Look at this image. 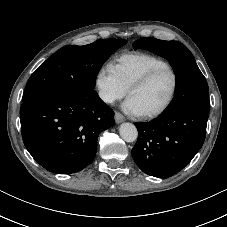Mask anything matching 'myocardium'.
Masks as SVG:
<instances>
[{
  "instance_id": "myocardium-1",
  "label": "myocardium",
  "mask_w": 227,
  "mask_h": 227,
  "mask_svg": "<svg viewBox=\"0 0 227 227\" xmlns=\"http://www.w3.org/2000/svg\"><path fill=\"white\" fill-rule=\"evenodd\" d=\"M164 70H168L172 74V77H173V87H172L171 93H170L168 99L166 100V102L160 108H158L152 112L143 113L141 115L143 118L152 119V118L158 117V116L162 115L163 113H165L170 108V106L172 105V103L176 97L178 87H179L178 74H177L176 70L170 65L159 66V67L153 68L150 71H148L147 73H145L143 76H141L136 81H134L128 88V95L130 96L134 90L145 86L157 74H159L160 72H162Z\"/></svg>"
}]
</instances>
